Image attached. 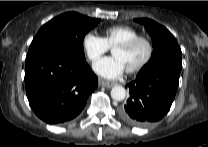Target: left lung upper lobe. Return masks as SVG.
<instances>
[{
    "label": "left lung upper lobe",
    "instance_id": "obj_1",
    "mask_svg": "<svg viewBox=\"0 0 208 147\" xmlns=\"http://www.w3.org/2000/svg\"><path fill=\"white\" fill-rule=\"evenodd\" d=\"M135 20L143 24L151 35L154 49L151 59L139 73H144L164 64L181 69L182 52L174 36L164 26L151 19L138 18Z\"/></svg>",
    "mask_w": 208,
    "mask_h": 147
}]
</instances>
